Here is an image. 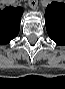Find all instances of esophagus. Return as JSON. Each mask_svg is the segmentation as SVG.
Wrapping results in <instances>:
<instances>
[{"label": "esophagus", "mask_w": 65, "mask_h": 89, "mask_svg": "<svg viewBox=\"0 0 65 89\" xmlns=\"http://www.w3.org/2000/svg\"><path fill=\"white\" fill-rule=\"evenodd\" d=\"M37 5H38V1H37V0H30V1H29V6H30L32 9H36V8H37Z\"/></svg>", "instance_id": "esophagus-1"}]
</instances>
